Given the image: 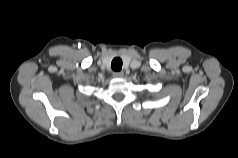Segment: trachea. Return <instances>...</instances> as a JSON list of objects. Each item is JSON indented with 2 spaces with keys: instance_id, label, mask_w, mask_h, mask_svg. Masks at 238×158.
I'll return each mask as SVG.
<instances>
[{
  "instance_id": "obj_1",
  "label": "trachea",
  "mask_w": 238,
  "mask_h": 158,
  "mask_svg": "<svg viewBox=\"0 0 238 158\" xmlns=\"http://www.w3.org/2000/svg\"><path fill=\"white\" fill-rule=\"evenodd\" d=\"M111 68L114 71H120L122 68V60L119 57H116L111 62Z\"/></svg>"
}]
</instances>
